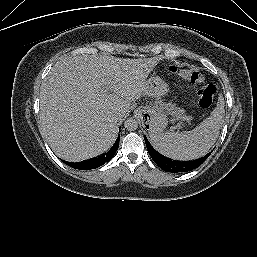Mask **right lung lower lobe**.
I'll list each match as a JSON object with an SVG mask.
<instances>
[{
	"instance_id": "1",
	"label": "right lung lower lobe",
	"mask_w": 257,
	"mask_h": 257,
	"mask_svg": "<svg viewBox=\"0 0 257 257\" xmlns=\"http://www.w3.org/2000/svg\"><path fill=\"white\" fill-rule=\"evenodd\" d=\"M119 140H120V136H118L116 142L114 143V145L111 147V149L103 154L102 156L95 158V159H91L88 161H84V162H79V163H70V162H66L63 161L66 165L75 168V169H79V170H90V169H94L97 167L102 166L104 163L109 162L112 157L115 155L118 147H119Z\"/></svg>"
}]
</instances>
